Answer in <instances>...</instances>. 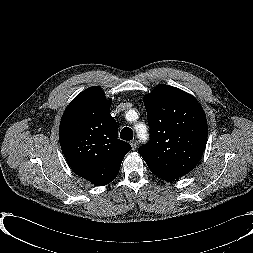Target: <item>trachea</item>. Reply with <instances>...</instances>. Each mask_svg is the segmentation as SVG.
Masks as SVG:
<instances>
[{
  "instance_id": "obj_1",
  "label": "trachea",
  "mask_w": 253,
  "mask_h": 253,
  "mask_svg": "<svg viewBox=\"0 0 253 253\" xmlns=\"http://www.w3.org/2000/svg\"><path fill=\"white\" fill-rule=\"evenodd\" d=\"M120 138L125 141H130L133 139V131L131 128L125 127L120 132Z\"/></svg>"
}]
</instances>
